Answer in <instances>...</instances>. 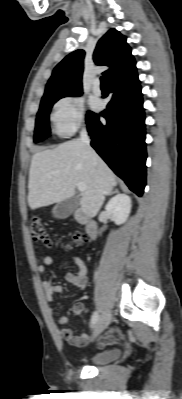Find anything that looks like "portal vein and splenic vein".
I'll use <instances>...</instances> for the list:
<instances>
[{"label":"portal vein and splenic vein","mask_w":182,"mask_h":399,"mask_svg":"<svg viewBox=\"0 0 182 399\" xmlns=\"http://www.w3.org/2000/svg\"><path fill=\"white\" fill-rule=\"evenodd\" d=\"M77 187H78V190H79L80 192H84L85 189H86V187H85V185H84L83 183H79V184L77 185Z\"/></svg>","instance_id":"18ae733b"}]
</instances>
